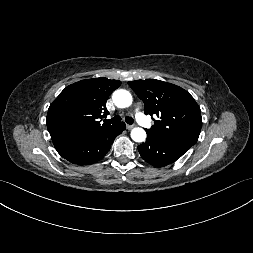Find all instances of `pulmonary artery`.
<instances>
[{
	"label": "pulmonary artery",
	"instance_id": "pulmonary-artery-1",
	"mask_svg": "<svg viewBox=\"0 0 253 253\" xmlns=\"http://www.w3.org/2000/svg\"><path fill=\"white\" fill-rule=\"evenodd\" d=\"M135 118L142 126L150 128L152 126L151 121L139 110H135Z\"/></svg>",
	"mask_w": 253,
	"mask_h": 253
}]
</instances>
